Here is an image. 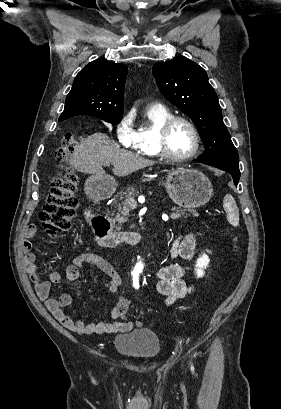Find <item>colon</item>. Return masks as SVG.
Here are the masks:
<instances>
[{"label":"colon","mask_w":281,"mask_h":409,"mask_svg":"<svg viewBox=\"0 0 281 409\" xmlns=\"http://www.w3.org/2000/svg\"><path fill=\"white\" fill-rule=\"evenodd\" d=\"M78 138L75 133L64 135L62 146L57 152L60 171L55 179L48 202L39 212V221L42 228L51 236H56L70 229L77 208V199L73 195L77 177L71 168L70 158L76 151ZM126 307L119 310L125 316Z\"/></svg>","instance_id":"colon-1"}]
</instances>
